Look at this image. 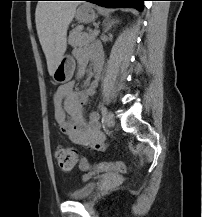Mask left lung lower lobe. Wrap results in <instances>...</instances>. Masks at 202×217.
<instances>
[{
	"label": "left lung lower lobe",
	"mask_w": 202,
	"mask_h": 217,
	"mask_svg": "<svg viewBox=\"0 0 202 217\" xmlns=\"http://www.w3.org/2000/svg\"><path fill=\"white\" fill-rule=\"evenodd\" d=\"M83 1H89L91 3L97 4L102 7H111V8H117V7H133L137 10H142V2L145 0H83Z\"/></svg>",
	"instance_id": "1"
}]
</instances>
